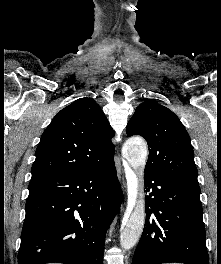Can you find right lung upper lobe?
Instances as JSON below:
<instances>
[{"mask_svg":"<svg viewBox=\"0 0 221 264\" xmlns=\"http://www.w3.org/2000/svg\"><path fill=\"white\" fill-rule=\"evenodd\" d=\"M114 131L92 98H80L59 111L41 136L31 181L79 172L114 157Z\"/></svg>","mask_w":221,"mask_h":264,"instance_id":"right-lung-upper-lobe-1","label":"right lung upper lobe"}]
</instances>
